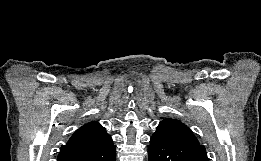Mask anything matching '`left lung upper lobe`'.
<instances>
[{"label": "left lung upper lobe", "mask_w": 261, "mask_h": 161, "mask_svg": "<svg viewBox=\"0 0 261 161\" xmlns=\"http://www.w3.org/2000/svg\"><path fill=\"white\" fill-rule=\"evenodd\" d=\"M154 134L166 136L185 144L199 145L198 140L190 131V129L175 119H164L161 121Z\"/></svg>", "instance_id": "left-lung-upper-lobe-1"}]
</instances>
